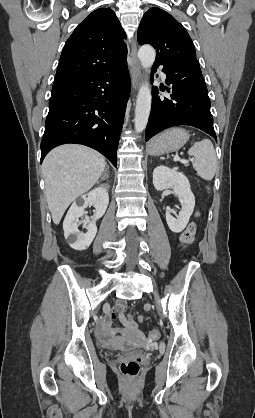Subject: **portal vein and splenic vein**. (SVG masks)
Instances as JSON below:
<instances>
[{
	"instance_id": "1",
	"label": "portal vein and splenic vein",
	"mask_w": 255,
	"mask_h": 418,
	"mask_svg": "<svg viewBox=\"0 0 255 418\" xmlns=\"http://www.w3.org/2000/svg\"><path fill=\"white\" fill-rule=\"evenodd\" d=\"M173 160H174V161H182V162H189V161L193 162V161H194V159H190L189 161H183V160H181V159H180V157H179V156H177V155L174 157V159H173Z\"/></svg>"
}]
</instances>
